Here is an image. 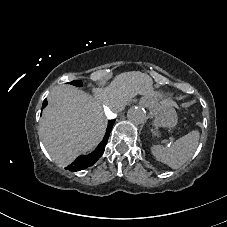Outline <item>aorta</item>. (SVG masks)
I'll list each match as a JSON object with an SVG mask.
<instances>
[{"label":"aorta","mask_w":227,"mask_h":227,"mask_svg":"<svg viewBox=\"0 0 227 227\" xmlns=\"http://www.w3.org/2000/svg\"><path fill=\"white\" fill-rule=\"evenodd\" d=\"M127 118L134 124H142L147 120L146 111L141 107H131L127 112Z\"/></svg>","instance_id":"1"}]
</instances>
